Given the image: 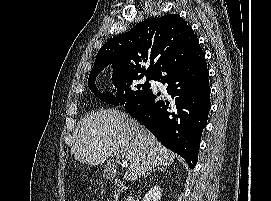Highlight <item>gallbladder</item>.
<instances>
[{
    "mask_svg": "<svg viewBox=\"0 0 271 201\" xmlns=\"http://www.w3.org/2000/svg\"><path fill=\"white\" fill-rule=\"evenodd\" d=\"M103 176L106 178H112L114 176L113 174V163L109 162L106 165V168L104 169Z\"/></svg>",
    "mask_w": 271,
    "mask_h": 201,
    "instance_id": "bac80fb5",
    "label": "gallbladder"
}]
</instances>
